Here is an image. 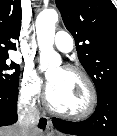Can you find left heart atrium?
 <instances>
[{
	"instance_id": "obj_1",
	"label": "left heart atrium",
	"mask_w": 117,
	"mask_h": 136,
	"mask_svg": "<svg viewBox=\"0 0 117 136\" xmlns=\"http://www.w3.org/2000/svg\"><path fill=\"white\" fill-rule=\"evenodd\" d=\"M53 85H54V81L53 80H49L48 81V91H49V89H51L53 87Z\"/></svg>"
}]
</instances>
